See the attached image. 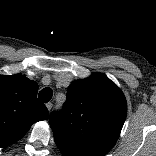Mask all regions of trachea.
<instances>
[{
  "instance_id": "1",
  "label": "trachea",
  "mask_w": 156,
  "mask_h": 156,
  "mask_svg": "<svg viewBox=\"0 0 156 156\" xmlns=\"http://www.w3.org/2000/svg\"><path fill=\"white\" fill-rule=\"evenodd\" d=\"M53 95V91L51 88H44L42 89L39 94H38V98L42 101V102H49L50 99L52 98Z\"/></svg>"
}]
</instances>
